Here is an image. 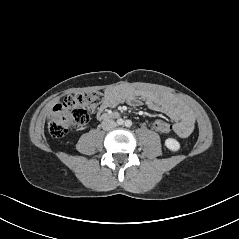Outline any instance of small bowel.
Listing matches in <instances>:
<instances>
[{
  "mask_svg": "<svg viewBox=\"0 0 239 239\" xmlns=\"http://www.w3.org/2000/svg\"><path fill=\"white\" fill-rule=\"evenodd\" d=\"M120 102H127L130 105L145 103L149 108L166 114L174 121L168 133H172L177 138L188 137L194 129L195 118L192 112L173 95L131 86L107 89L98 111V117L100 118L105 110L115 107Z\"/></svg>",
  "mask_w": 239,
  "mask_h": 239,
  "instance_id": "c3829d8e",
  "label": "small bowel"
}]
</instances>
